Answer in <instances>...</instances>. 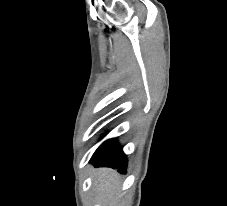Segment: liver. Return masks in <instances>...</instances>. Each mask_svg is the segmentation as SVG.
Masks as SVG:
<instances>
[{
  "label": "liver",
  "mask_w": 227,
  "mask_h": 206,
  "mask_svg": "<svg viewBox=\"0 0 227 206\" xmlns=\"http://www.w3.org/2000/svg\"><path fill=\"white\" fill-rule=\"evenodd\" d=\"M117 178V173L108 168H101L95 173L93 187L97 201L108 202L109 206H116V193L119 188Z\"/></svg>",
  "instance_id": "liver-1"
}]
</instances>
